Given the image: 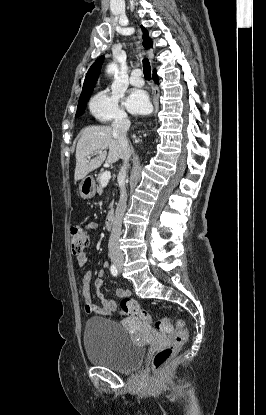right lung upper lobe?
<instances>
[{"instance_id": "obj_1", "label": "right lung upper lobe", "mask_w": 266, "mask_h": 415, "mask_svg": "<svg viewBox=\"0 0 266 415\" xmlns=\"http://www.w3.org/2000/svg\"><path fill=\"white\" fill-rule=\"evenodd\" d=\"M141 28L143 32L144 47L146 49L152 47V42L150 41L147 30L143 26H141ZM103 60H104L103 56L99 57L88 70L85 80H84L83 89H82V93L80 97L88 93H92L96 80L98 79Z\"/></svg>"}]
</instances>
